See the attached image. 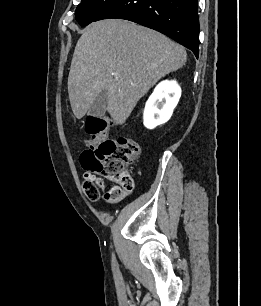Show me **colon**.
Returning a JSON list of instances; mask_svg holds the SVG:
<instances>
[{
    "mask_svg": "<svg viewBox=\"0 0 261 306\" xmlns=\"http://www.w3.org/2000/svg\"><path fill=\"white\" fill-rule=\"evenodd\" d=\"M109 127L107 117L89 116L85 122L86 132L91 139L86 142L87 148L81 155V163L85 170L84 189L91 201L99 198L102 179L116 184L105 193L108 200L120 189L132 188L128 167L140 154L139 144L131 137L110 140L107 136Z\"/></svg>",
    "mask_w": 261,
    "mask_h": 306,
    "instance_id": "1",
    "label": "colon"
}]
</instances>
